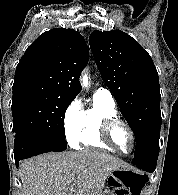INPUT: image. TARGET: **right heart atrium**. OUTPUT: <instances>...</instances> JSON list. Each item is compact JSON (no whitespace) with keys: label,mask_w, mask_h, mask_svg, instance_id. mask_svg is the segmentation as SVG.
<instances>
[{"label":"right heart atrium","mask_w":178,"mask_h":195,"mask_svg":"<svg viewBox=\"0 0 178 195\" xmlns=\"http://www.w3.org/2000/svg\"><path fill=\"white\" fill-rule=\"evenodd\" d=\"M84 111L79 97L73 99L66 107L63 115L65 135L70 146L76 147L83 131Z\"/></svg>","instance_id":"1"}]
</instances>
